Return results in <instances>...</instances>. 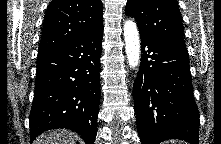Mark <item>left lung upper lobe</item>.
<instances>
[{"label":"left lung upper lobe","mask_w":221,"mask_h":144,"mask_svg":"<svg viewBox=\"0 0 221 144\" xmlns=\"http://www.w3.org/2000/svg\"><path fill=\"white\" fill-rule=\"evenodd\" d=\"M126 15L136 19L140 35L184 46L183 20L176 0H127Z\"/></svg>","instance_id":"5c2ea615"}]
</instances>
